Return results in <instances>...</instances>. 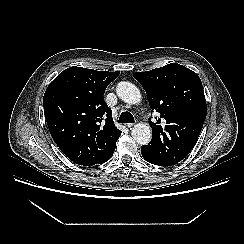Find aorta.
I'll return each instance as SVG.
<instances>
[{
    "instance_id": "1",
    "label": "aorta",
    "mask_w": 244,
    "mask_h": 244,
    "mask_svg": "<svg viewBox=\"0 0 244 244\" xmlns=\"http://www.w3.org/2000/svg\"><path fill=\"white\" fill-rule=\"evenodd\" d=\"M118 97L128 104H138L142 96L140 90L130 82H120L116 89ZM134 141L140 145H146L150 142L152 131L148 124L138 123L132 128L131 132Z\"/></svg>"
}]
</instances>
